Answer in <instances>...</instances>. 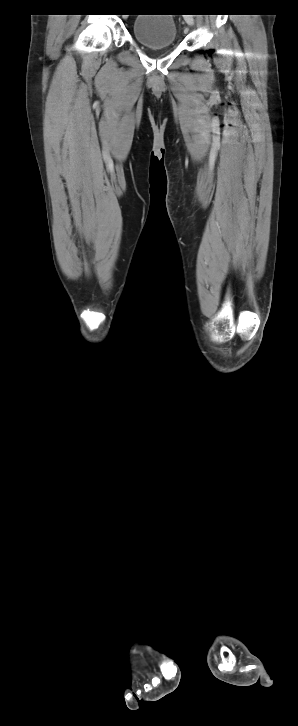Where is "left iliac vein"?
Returning <instances> with one entry per match:
<instances>
[{
    "label": "left iliac vein",
    "instance_id": "4c4485c4",
    "mask_svg": "<svg viewBox=\"0 0 298 726\" xmlns=\"http://www.w3.org/2000/svg\"><path fill=\"white\" fill-rule=\"evenodd\" d=\"M185 20L189 26H192L194 24V19L191 15L186 16ZM185 33H187V30H185Z\"/></svg>",
    "mask_w": 298,
    "mask_h": 726
}]
</instances>
